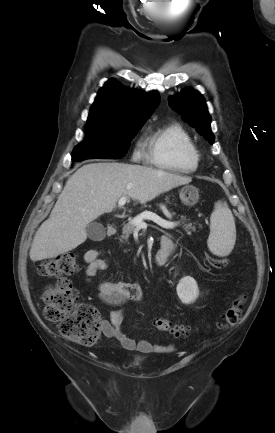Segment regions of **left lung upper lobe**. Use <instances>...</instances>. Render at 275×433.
<instances>
[{
    "mask_svg": "<svg viewBox=\"0 0 275 433\" xmlns=\"http://www.w3.org/2000/svg\"><path fill=\"white\" fill-rule=\"evenodd\" d=\"M169 104L182 114V118L197 129L210 144H213L214 136L211 132L208 109L204 98L198 91L185 90L182 93L170 97Z\"/></svg>",
    "mask_w": 275,
    "mask_h": 433,
    "instance_id": "1",
    "label": "left lung upper lobe"
}]
</instances>
